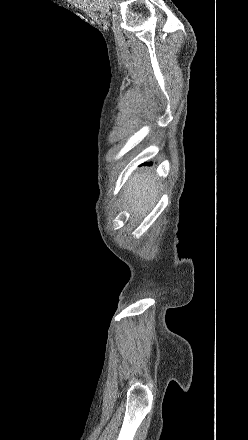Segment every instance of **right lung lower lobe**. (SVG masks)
Returning a JSON list of instances; mask_svg holds the SVG:
<instances>
[{"instance_id":"98d812e1","label":"right lung lower lobe","mask_w":248,"mask_h":440,"mask_svg":"<svg viewBox=\"0 0 248 440\" xmlns=\"http://www.w3.org/2000/svg\"><path fill=\"white\" fill-rule=\"evenodd\" d=\"M142 165H144V166H151L152 165V163H144V164H142Z\"/></svg>"}]
</instances>
